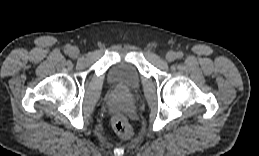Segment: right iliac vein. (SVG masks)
<instances>
[{
  "instance_id": "1",
  "label": "right iliac vein",
  "mask_w": 259,
  "mask_h": 156,
  "mask_svg": "<svg viewBox=\"0 0 259 156\" xmlns=\"http://www.w3.org/2000/svg\"><path fill=\"white\" fill-rule=\"evenodd\" d=\"M70 54L72 57H77L79 55V49L77 47H72L70 50Z\"/></svg>"
}]
</instances>
